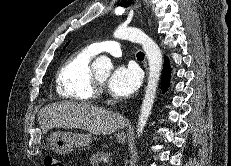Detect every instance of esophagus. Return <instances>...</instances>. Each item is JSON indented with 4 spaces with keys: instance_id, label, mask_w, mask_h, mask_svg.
<instances>
[{
    "instance_id": "obj_1",
    "label": "esophagus",
    "mask_w": 231,
    "mask_h": 166,
    "mask_svg": "<svg viewBox=\"0 0 231 166\" xmlns=\"http://www.w3.org/2000/svg\"><path fill=\"white\" fill-rule=\"evenodd\" d=\"M144 1H145V3H146V6L148 7V6H149V4H148L147 0H144Z\"/></svg>"
}]
</instances>
